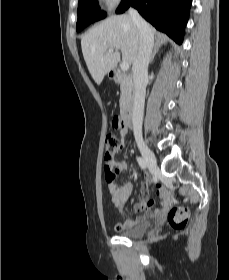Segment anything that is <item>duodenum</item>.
Masks as SVG:
<instances>
[{
	"label": "duodenum",
	"instance_id": "410a0bca",
	"mask_svg": "<svg viewBox=\"0 0 229 280\" xmlns=\"http://www.w3.org/2000/svg\"><path fill=\"white\" fill-rule=\"evenodd\" d=\"M113 79L116 82H122L124 80H127L131 86H133L132 83V75L126 74L124 75L120 71H114L113 72ZM135 106V97L133 94H131L123 108L122 114H121V127L123 129H128L132 125V116Z\"/></svg>",
	"mask_w": 229,
	"mask_h": 280
}]
</instances>
